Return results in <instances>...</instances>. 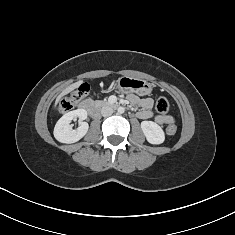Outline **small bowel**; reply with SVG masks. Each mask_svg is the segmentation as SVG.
<instances>
[{"label":"small bowel","instance_id":"c3829d8e","mask_svg":"<svg viewBox=\"0 0 235 235\" xmlns=\"http://www.w3.org/2000/svg\"><path fill=\"white\" fill-rule=\"evenodd\" d=\"M129 101L135 105L140 107V110L137 113V116L141 119H149L153 116L152 107H153V99L149 97L139 98L136 95H129ZM155 121L158 124H168L173 121L172 116L169 115H157L155 116Z\"/></svg>","mask_w":235,"mask_h":235}]
</instances>
